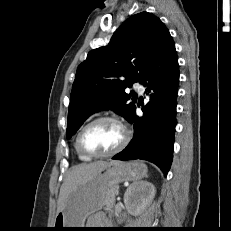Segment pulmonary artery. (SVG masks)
I'll return each instance as SVG.
<instances>
[{"label":"pulmonary artery","mask_w":231,"mask_h":231,"mask_svg":"<svg viewBox=\"0 0 231 231\" xmlns=\"http://www.w3.org/2000/svg\"><path fill=\"white\" fill-rule=\"evenodd\" d=\"M135 88L138 90L140 94H143L145 91V87L142 82H136L135 83Z\"/></svg>","instance_id":"1"}]
</instances>
